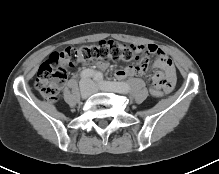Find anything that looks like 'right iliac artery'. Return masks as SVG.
<instances>
[{"instance_id": "82829eb1", "label": "right iliac artery", "mask_w": 219, "mask_h": 174, "mask_svg": "<svg viewBox=\"0 0 219 174\" xmlns=\"http://www.w3.org/2000/svg\"><path fill=\"white\" fill-rule=\"evenodd\" d=\"M95 75V71L94 70H91V69H86V70H83L80 74V77L82 79H86V78H89V77H93Z\"/></svg>"}]
</instances>
